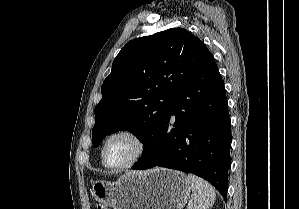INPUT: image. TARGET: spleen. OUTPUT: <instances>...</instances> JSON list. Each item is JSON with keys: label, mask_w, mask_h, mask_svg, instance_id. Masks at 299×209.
Returning a JSON list of instances; mask_svg holds the SVG:
<instances>
[{"label": "spleen", "mask_w": 299, "mask_h": 209, "mask_svg": "<svg viewBox=\"0 0 299 209\" xmlns=\"http://www.w3.org/2000/svg\"><path fill=\"white\" fill-rule=\"evenodd\" d=\"M193 195L191 196L187 209H209L215 201L214 188L202 178L188 174Z\"/></svg>", "instance_id": "3e777b00"}]
</instances>
